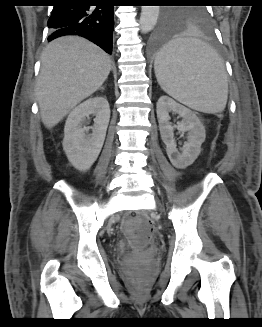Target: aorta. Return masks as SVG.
Here are the masks:
<instances>
[{"label":"aorta","instance_id":"762f6f07","mask_svg":"<svg viewBox=\"0 0 262 327\" xmlns=\"http://www.w3.org/2000/svg\"><path fill=\"white\" fill-rule=\"evenodd\" d=\"M160 14L159 6H142L140 16V29L142 33H148L157 23Z\"/></svg>","mask_w":262,"mask_h":327}]
</instances>
